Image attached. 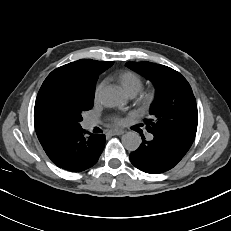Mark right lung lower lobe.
Listing matches in <instances>:
<instances>
[{
    "mask_svg": "<svg viewBox=\"0 0 231 231\" xmlns=\"http://www.w3.org/2000/svg\"><path fill=\"white\" fill-rule=\"evenodd\" d=\"M41 145L58 167L72 172H81L98 161L105 146V136L90 134V137L86 139L81 128L56 134L41 142Z\"/></svg>",
    "mask_w": 231,
    "mask_h": 231,
    "instance_id": "obj_1",
    "label": "right lung lower lobe"
}]
</instances>
